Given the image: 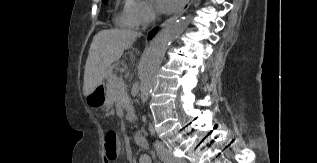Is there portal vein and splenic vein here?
<instances>
[{
	"mask_svg": "<svg viewBox=\"0 0 317 163\" xmlns=\"http://www.w3.org/2000/svg\"><path fill=\"white\" fill-rule=\"evenodd\" d=\"M117 85L119 87L123 88L125 84H124V81L122 79H120V80L117 81Z\"/></svg>",
	"mask_w": 317,
	"mask_h": 163,
	"instance_id": "portal-vein-and-splenic-vein-1",
	"label": "portal vein and splenic vein"
}]
</instances>
